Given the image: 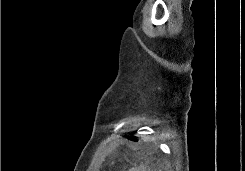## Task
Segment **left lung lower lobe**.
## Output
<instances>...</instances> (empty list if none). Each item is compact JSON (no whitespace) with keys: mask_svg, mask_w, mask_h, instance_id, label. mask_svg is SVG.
<instances>
[{"mask_svg":"<svg viewBox=\"0 0 245 171\" xmlns=\"http://www.w3.org/2000/svg\"><path fill=\"white\" fill-rule=\"evenodd\" d=\"M129 140H132V141H137V138L134 137V136H131V137H128Z\"/></svg>","mask_w":245,"mask_h":171,"instance_id":"0a47b994","label":"left lung lower lobe"}]
</instances>
